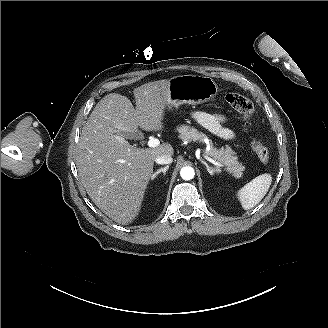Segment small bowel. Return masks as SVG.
Returning a JSON list of instances; mask_svg holds the SVG:
<instances>
[{
    "instance_id": "small-bowel-1",
    "label": "small bowel",
    "mask_w": 328,
    "mask_h": 328,
    "mask_svg": "<svg viewBox=\"0 0 328 328\" xmlns=\"http://www.w3.org/2000/svg\"><path fill=\"white\" fill-rule=\"evenodd\" d=\"M191 115L200 125L211 133L227 140L234 138L235 133L224 125L226 121L224 115L204 111H193Z\"/></svg>"
}]
</instances>
